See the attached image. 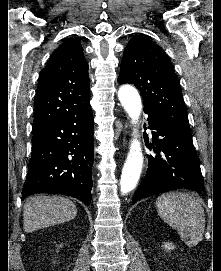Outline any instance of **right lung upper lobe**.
I'll return each instance as SVG.
<instances>
[{"label": "right lung upper lobe", "instance_id": "right-lung-upper-lobe-1", "mask_svg": "<svg viewBox=\"0 0 221 271\" xmlns=\"http://www.w3.org/2000/svg\"><path fill=\"white\" fill-rule=\"evenodd\" d=\"M88 63L77 39L62 43L39 76L32 130L90 108Z\"/></svg>", "mask_w": 221, "mask_h": 271}]
</instances>
